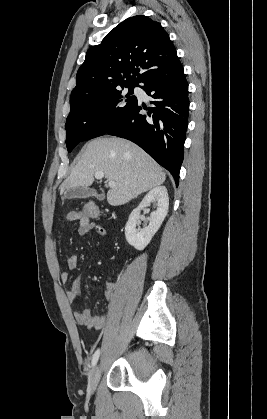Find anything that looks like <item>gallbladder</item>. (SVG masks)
<instances>
[{"mask_svg":"<svg viewBox=\"0 0 267 419\" xmlns=\"http://www.w3.org/2000/svg\"><path fill=\"white\" fill-rule=\"evenodd\" d=\"M96 192L92 189H88L86 187H76V188H70L67 193L66 197L71 198H87L89 196L95 195ZM100 198H104L103 195H99Z\"/></svg>","mask_w":267,"mask_h":419,"instance_id":"gallbladder-1","label":"gallbladder"}]
</instances>
